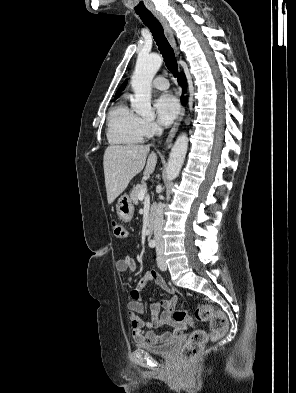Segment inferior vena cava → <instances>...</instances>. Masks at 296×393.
Returning a JSON list of instances; mask_svg holds the SVG:
<instances>
[{
    "label": "inferior vena cava",
    "instance_id": "inferior-vena-cava-1",
    "mask_svg": "<svg viewBox=\"0 0 296 393\" xmlns=\"http://www.w3.org/2000/svg\"><path fill=\"white\" fill-rule=\"evenodd\" d=\"M163 129L155 125L154 126V132L157 135L162 134ZM163 204L158 203L157 209H156V214H155V220H154V239L157 244L158 249H163L164 247V240H163V226H164V219H163Z\"/></svg>",
    "mask_w": 296,
    "mask_h": 393
}]
</instances>
